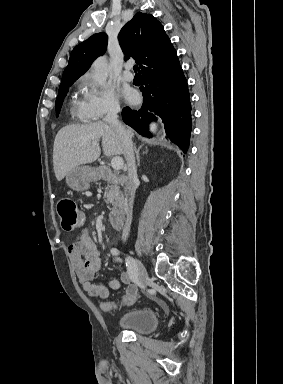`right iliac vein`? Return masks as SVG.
Wrapping results in <instances>:
<instances>
[{"mask_svg":"<svg viewBox=\"0 0 283 384\" xmlns=\"http://www.w3.org/2000/svg\"><path fill=\"white\" fill-rule=\"evenodd\" d=\"M134 263L136 264V267H137L139 281L142 287H146L149 282V275L145 267L143 266V264L138 259L135 258Z\"/></svg>","mask_w":283,"mask_h":384,"instance_id":"1","label":"right iliac vein"}]
</instances>
